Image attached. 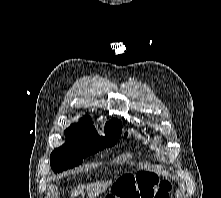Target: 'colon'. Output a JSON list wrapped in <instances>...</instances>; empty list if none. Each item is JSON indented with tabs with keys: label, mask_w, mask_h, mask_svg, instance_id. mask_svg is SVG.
I'll return each mask as SVG.
<instances>
[{
	"label": "colon",
	"mask_w": 221,
	"mask_h": 198,
	"mask_svg": "<svg viewBox=\"0 0 221 198\" xmlns=\"http://www.w3.org/2000/svg\"><path fill=\"white\" fill-rule=\"evenodd\" d=\"M170 191V183L159 181L150 173L141 172L122 176L105 198H169Z\"/></svg>",
	"instance_id": "5ec220e1"
}]
</instances>
